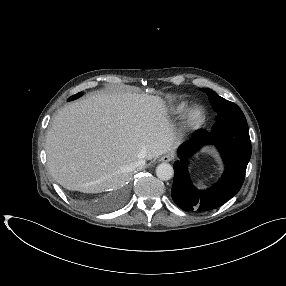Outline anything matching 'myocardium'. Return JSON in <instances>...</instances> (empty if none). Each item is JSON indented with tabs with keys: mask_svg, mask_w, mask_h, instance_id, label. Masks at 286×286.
Listing matches in <instances>:
<instances>
[{
	"mask_svg": "<svg viewBox=\"0 0 286 286\" xmlns=\"http://www.w3.org/2000/svg\"><path fill=\"white\" fill-rule=\"evenodd\" d=\"M206 111L203 106L192 105L185 113L184 125L186 128L195 130L201 128L206 121Z\"/></svg>",
	"mask_w": 286,
	"mask_h": 286,
	"instance_id": "myocardium-1",
	"label": "myocardium"
}]
</instances>
